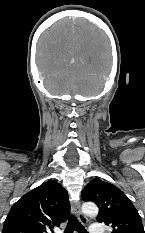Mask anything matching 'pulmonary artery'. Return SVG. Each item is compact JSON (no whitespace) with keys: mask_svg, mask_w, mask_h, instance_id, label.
Here are the masks:
<instances>
[{"mask_svg":"<svg viewBox=\"0 0 145 233\" xmlns=\"http://www.w3.org/2000/svg\"><path fill=\"white\" fill-rule=\"evenodd\" d=\"M89 232L90 233H105V229L101 223L96 222V223H93L89 227Z\"/></svg>","mask_w":145,"mask_h":233,"instance_id":"e3ab8cb5","label":"pulmonary artery"}]
</instances>
